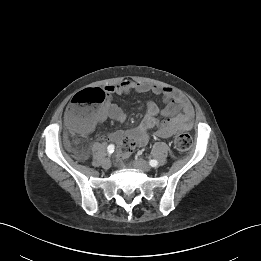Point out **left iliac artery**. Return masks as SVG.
I'll list each match as a JSON object with an SVG mask.
<instances>
[{"mask_svg":"<svg viewBox=\"0 0 261 261\" xmlns=\"http://www.w3.org/2000/svg\"><path fill=\"white\" fill-rule=\"evenodd\" d=\"M149 164L152 166V167H156L158 165V162L157 160H150L149 161Z\"/></svg>","mask_w":261,"mask_h":261,"instance_id":"1","label":"left iliac artery"}]
</instances>
